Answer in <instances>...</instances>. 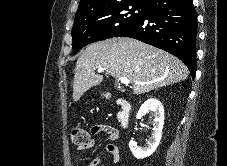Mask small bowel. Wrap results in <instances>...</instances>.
Instances as JSON below:
<instances>
[{
    "instance_id": "c3829d8e",
    "label": "small bowel",
    "mask_w": 227,
    "mask_h": 166,
    "mask_svg": "<svg viewBox=\"0 0 227 166\" xmlns=\"http://www.w3.org/2000/svg\"><path fill=\"white\" fill-rule=\"evenodd\" d=\"M90 132L94 136L105 135L110 140H116L118 138V132L111 126L108 125H95L92 126ZM95 145V140H91V143L86 147H80L79 150L85 148H92ZM105 152L112 155L114 160L120 162L123 160V156L120 154L118 147L113 143H108L104 148ZM101 156H96L86 162L87 166H99L101 163Z\"/></svg>"
}]
</instances>
